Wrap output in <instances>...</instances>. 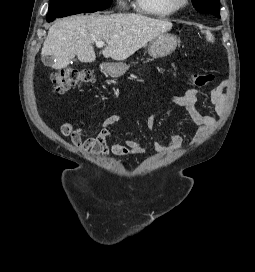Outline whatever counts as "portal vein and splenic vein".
Segmentation results:
<instances>
[{"label": "portal vein and splenic vein", "instance_id": "18ae733b", "mask_svg": "<svg viewBox=\"0 0 255 272\" xmlns=\"http://www.w3.org/2000/svg\"><path fill=\"white\" fill-rule=\"evenodd\" d=\"M96 46L103 47V46H105V43L103 41H96Z\"/></svg>", "mask_w": 255, "mask_h": 272}]
</instances>
